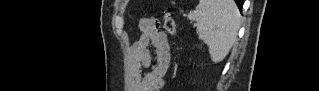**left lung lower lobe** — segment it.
<instances>
[{
  "instance_id": "1",
  "label": "left lung lower lobe",
  "mask_w": 319,
  "mask_h": 91,
  "mask_svg": "<svg viewBox=\"0 0 319 91\" xmlns=\"http://www.w3.org/2000/svg\"><path fill=\"white\" fill-rule=\"evenodd\" d=\"M237 3V6L239 7L240 12L242 11V5H243V0H234Z\"/></svg>"
}]
</instances>
